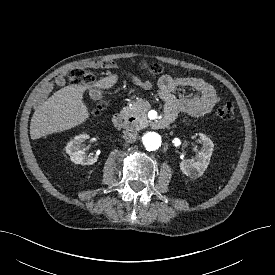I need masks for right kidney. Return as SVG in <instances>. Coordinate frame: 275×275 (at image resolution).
<instances>
[{
    "instance_id": "ca27d5eb",
    "label": "right kidney",
    "mask_w": 275,
    "mask_h": 275,
    "mask_svg": "<svg viewBox=\"0 0 275 275\" xmlns=\"http://www.w3.org/2000/svg\"><path fill=\"white\" fill-rule=\"evenodd\" d=\"M89 138L90 136L88 134L82 133L67 143L66 152L69 154L73 163L92 165L97 161L98 156H87L82 146V143Z\"/></svg>"
}]
</instances>
